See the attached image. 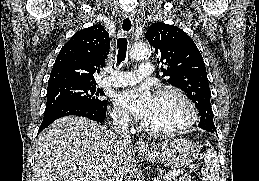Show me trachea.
<instances>
[{"label":"trachea","mask_w":259,"mask_h":181,"mask_svg":"<svg viewBox=\"0 0 259 181\" xmlns=\"http://www.w3.org/2000/svg\"><path fill=\"white\" fill-rule=\"evenodd\" d=\"M117 46H118L117 65H119L126 59L127 39L125 37L119 38L117 41Z\"/></svg>","instance_id":"1"}]
</instances>
